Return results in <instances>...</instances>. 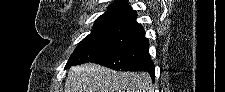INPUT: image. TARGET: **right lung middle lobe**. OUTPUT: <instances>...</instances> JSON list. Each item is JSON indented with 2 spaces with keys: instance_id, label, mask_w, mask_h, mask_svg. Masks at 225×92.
I'll return each instance as SVG.
<instances>
[{
  "instance_id": "1",
  "label": "right lung middle lobe",
  "mask_w": 225,
  "mask_h": 92,
  "mask_svg": "<svg viewBox=\"0 0 225 92\" xmlns=\"http://www.w3.org/2000/svg\"><path fill=\"white\" fill-rule=\"evenodd\" d=\"M144 36V31L120 24H95L92 32L76 47L65 69L91 62L95 58Z\"/></svg>"
}]
</instances>
